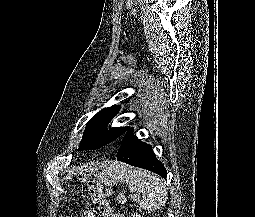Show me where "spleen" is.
Returning a JSON list of instances; mask_svg holds the SVG:
<instances>
[{"label": "spleen", "instance_id": "spleen-1", "mask_svg": "<svg viewBox=\"0 0 255 217\" xmlns=\"http://www.w3.org/2000/svg\"><path fill=\"white\" fill-rule=\"evenodd\" d=\"M109 173L113 180L125 182L130 192L142 195L139 205L144 210L154 211L165 205L167 188L157 176L122 163H113L109 167Z\"/></svg>", "mask_w": 255, "mask_h": 217}]
</instances>
